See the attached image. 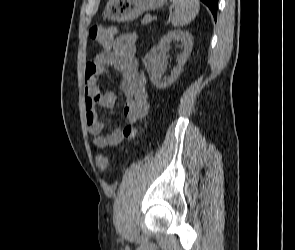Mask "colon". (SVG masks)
I'll return each mask as SVG.
<instances>
[{"mask_svg":"<svg viewBox=\"0 0 295 250\" xmlns=\"http://www.w3.org/2000/svg\"><path fill=\"white\" fill-rule=\"evenodd\" d=\"M116 28L106 24H96L89 30L90 37L104 47H109L114 41ZM97 165L101 169L108 167V158L102 153L97 154Z\"/></svg>","mask_w":295,"mask_h":250,"instance_id":"colon-1","label":"colon"}]
</instances>
